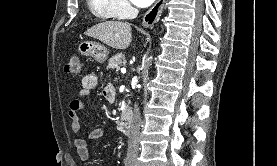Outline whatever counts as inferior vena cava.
<instances>
[{
  "mask_svg": "<svg viewBox=\"0 0 277 166\" xmlns=\"http://www.w3.org/2000/svg\"><path fill=\"white\" fill-rule=\"evenodd\" d=\"M141 117L138 104L134 105V117L131 126V132L128 141V158L136 157L139 147V133H140Z\"/></svg>",
  "mask_w": 277,
  "mask_h": 166,
  "instance_id": "602c4592",
  "label": "inferior vena cava"
}]
</instances>
